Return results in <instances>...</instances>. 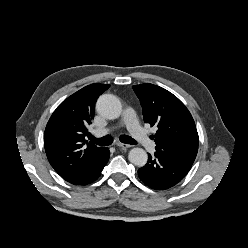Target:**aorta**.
I'll return each mask as SVG.
<instances>
[{
	"mask_svg": "<svg viewBox=\"0 0 248 248\" xmlns=\"http://www.w3.org/2000/svg\"><path fill=\"white\" fill-rule=\"evenodd\" d=\"M96 110L106 119H116L121 115L122 104L116 96L104 94L97 100ZM128 159L134 165L143 167L147 163L148 156L142 148H133L129 151Z\"/></svg>",
	"mask_w": 248,
	"mask_h": 248,
	"instance_id": "obj_1",
	"label": "aorta"
}]
</instances>
